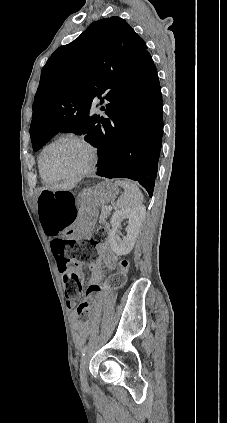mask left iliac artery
Masks as SVG:
<instances>
[{"instance_id": "obj_1", "label": "left iliac artery", "mask_w": 227, "mask_h": 423, "mask_svg": "<svg viewBox=\"0 0 227 423\" xmlns=\"http://www.w3.org/2000/svg\"><path fill=\"white\" fill-rule=\"evenodd\" d=\"M87 349H88V346H84V347L81 349V355H82V356H84V355H85V353H86Z\"/></svg>"}]
</instances>
